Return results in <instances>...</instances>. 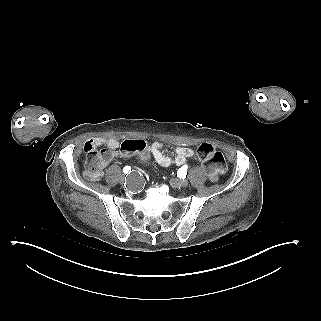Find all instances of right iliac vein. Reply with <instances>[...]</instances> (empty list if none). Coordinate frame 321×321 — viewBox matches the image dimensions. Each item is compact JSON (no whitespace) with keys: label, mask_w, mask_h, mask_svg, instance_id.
Segmentation results:
<instances>
[{"label":"right iliac vein","mask_w":321,"mask_h":321,"mask_svg":"<svg viewBox=\"0 0 321 321\" xmlns=\"http://www.w3.org/2000/svg\"><path fill=\"white\" fill-rule=\"evenodd\" d=\"M119 182H120L121 184H123V183L125 182L124 175H121V176L119 177Z\"/></svg>","instance_id":"63e3f726"}]
</instances>
